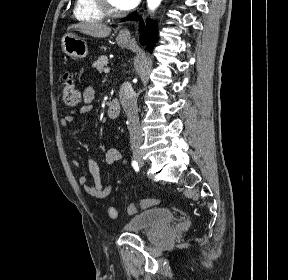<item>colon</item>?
Returning a JSON list of instances; mask_svg holds the SVG:
<instances>
[{
    "mask_svg": "<svg viewBox=\"0 0 288 280\" xmlns=\"http://www.w3.org/2000/svg\"><path fill=\"white\" fill-rule=\"evenodd\" d=\"M81 99V95L76 87L74 76L71 72H66L64 74V87L62 90V101L64 105L70 109H74L78 106ZM159 199L157 198H147L141 201L131 203L128 206V213L135 214L141 209H145L154 205L159 204ZM108 215L110 218L117 217V210L114 207L108 208Z\"/></svg>",
    "mask_w": 288,
    "mask_h": 280,
    "instance_id": "colon-1",
    "label": "colon"
}]
</instances>
